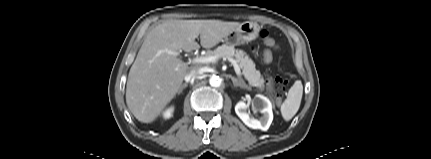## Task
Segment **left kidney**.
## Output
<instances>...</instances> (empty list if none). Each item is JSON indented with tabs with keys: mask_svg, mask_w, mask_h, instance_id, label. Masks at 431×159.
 <instances>
[{
	"mask_svg": "<svg viewBox=\"0 0 431 159\" xmlns=\"http://www.w3.org/2000/svg\"><path fill=\"white\" fill-rule=\"evenodd\" d=\"M252 104L256 111L263 114L259 120L249 115L247 112L248 104L244 101H239L235 105L236 114L248 127L267 131L273 120L272 104L270 100L267 97L258 94L255 96Z\"/></svg>",
	"mask_w": 431,
	"mask_h": 159,
	"instance_id": "1",
	"label": "left kidney"
}]
</instances>
